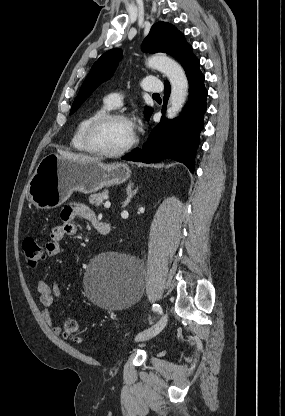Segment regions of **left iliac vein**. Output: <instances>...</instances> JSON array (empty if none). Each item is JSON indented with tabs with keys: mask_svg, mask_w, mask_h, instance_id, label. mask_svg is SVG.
<instances>
[{
	"mask_svg": "<svg viewBox=\"0 0 285 416\" xmlns=\"http://www.w3.org/2000/svg\"><path fill=\"white\" fill-rule=\"evenodd\" d=\"M168 322V315L164 314L161 318V320L155 324L154 326L146 329L145 331L141 332L140 334L137 335V337L135 338L136 341H145L148 339H151L153 337H155L156 335H158L166 326Z\"/></svg>",
	"mask_w": 285,
	"mask_h": 416,
	"instance_id": "left-iliac-vein-1",
	"label": "left iliac vein"
}]
</instances>
